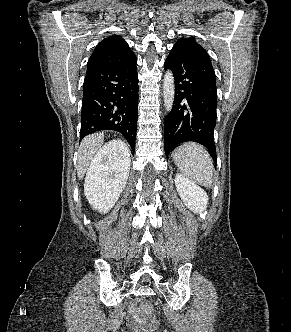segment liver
Segmentation results:
<instances>
[{
  "label": "liver",
  "mask_w": 291,
  "mask_h": 332,
  "mask_svg": "<svg viewBox=\"0 0 291 332\" xmlns=\"http://www.w3.org/2000/svg\"><path fill=\"white\" fill-rule=\"evenodd\" d=\"M103 143L104 134L101 132L88 135L82 140L78 150L77 161V175L79 179L84 177L90 162L93 160L94 156L97 154ZM126 148L130 157V150L127 146Z\"/></svg>",
  "instance_id": "obj_1"
}]
</instances>
